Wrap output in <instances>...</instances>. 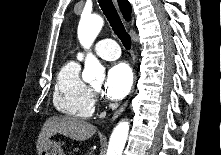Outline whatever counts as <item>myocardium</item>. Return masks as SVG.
Instances as JSON below:
<instances>
[{
  "label": "myocardium",
  "instance_id": "f54148a6",
  "mask_svg": "<svg viewBox=\"0 0 221 155\" xmlns=\"http://www.w3.org/2000/svg\"><path fill=\"white\" fill-rule=\"evenodd\" d=\"M90 90H91L93 95H95L97 93V89L96 88L90 87Z\"/></svg>",
  "mask_w": 221,
  "mask_h": 155
}]
</instances>
